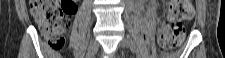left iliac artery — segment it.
Masks as SVG:
<instances>
[{
  "label": "left iliac artery",
  "mask_w": 225,
  "mask_h": 58,
  "mask_svg": "<svg viewBox=\"0 0 225 58\" xmlns=\"http://www.w3.org/2000/svg\"><path fill=\"white\" fill-rule=\"evenodd\" d=\"M131 50H133V51L137 50L136 44L134 42L131 43ZM137 55H138V58H140L139 57L140 56L139 52H137Z\"/></svg>",
  "instance_id": "1"
}]
</instances>
